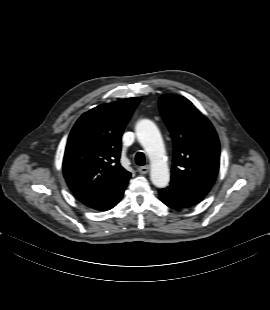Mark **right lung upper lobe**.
Instances as JSON below:
<instances>
[{"instance_id": "cb5924a9", "label": "right lung upper lobe", "mask_w": 270, "mask_h": 310, "mask_svg": "<svg viewBox=\"0 0 270 310\" xmlns=\"http://www.w3.org/2000/svg\"><path fill=\"white\" fill-rule=\"evenodd\" d=\"M127 98L99 105L75 123L66 146L63 172L73 194L84 204L113 191L131 173L120 165L121 136L139 103Z\"/></svg>"}]
</instances>
